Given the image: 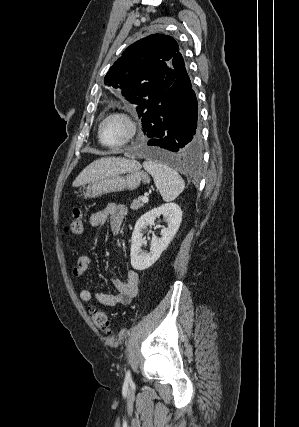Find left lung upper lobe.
Listing matches in <instances>:
<instances>
[{"label": "left lung upper lobe", "instance_id": "5c2ea615", "mask_svg": "<svg viewBox=\"0 0 299 427\" xmlns=\"http://www.w3.org/2000/svg\"><path fill=\"white\" fill-rule=\"evenodd\" d=\"M179 50L175 39L154 34L130 45L107 72L104 83L122 90L136 104L139 117L155 104L176 79L173 57Z\"/></svg>", "mask_w": 299, "mask_h": 427}]
</instances>
